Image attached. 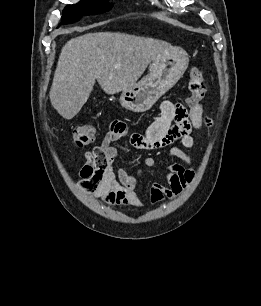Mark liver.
Returning <instances> with one entry per match:
<instances>
[{
    "instance_id": "1",
    "label": "liver",
    "mask_w": 261,
    "mask_h": 306,
    "mask_svg": "<svg viewBox=\"0 0 261 306\" xmlns=\"http://www.w3.org/2000/svg\"><path fill=\"white\" fill-rule=\"evenodd\" d=\"M170 43L124 33H87L62 48L50 89L54 109L72 119L87 102L95 81L115 94L133 86Z\"/></svg>"
}]
</instances>
